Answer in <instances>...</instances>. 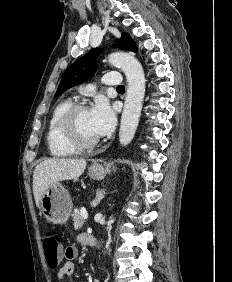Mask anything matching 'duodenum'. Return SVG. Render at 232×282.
Here are the masks:
<instances>
[{
  "label": "duodenum",
  "mask_w": 232,
  "mask_h": 282,
  "mask_svg": "<svg viewBox=\"0 0 232 282\" xmlns=\"http://www.w3.org/2000/svg\"><path fill=\"white\" fill-rule=\"evenodd\" d=\"M87 244L90 246H95L96 245V239L93 236H89L87 239Z\"/></svg>",
  "instance_id": "1"
}]
</instances>
